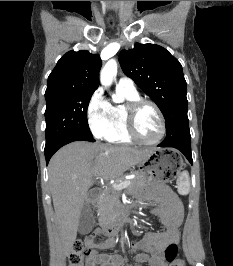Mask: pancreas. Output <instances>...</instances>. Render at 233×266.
Returning a JSON list of instances; mask_svg holds the SVG:
<instances>
[{
    "label": "pancreas",
    "instance_id": "1",
    "mask_svg": "<svg viewBox=\"0 0 233 266\" xmlns=\"http://www.w3.org/2000/svg\"><path fill=\"white\" fill-rule=\"evenodd\" d=\"M121 180L124 179L122 178L120 181ZM129 181L130 185L127 187L128 193H133L146 185V180L140 172L136 173L135 178ZM119 198L120 191L118 190L108 188L104 191L103 196L98 200L97 203L99 221L101 224L111 220L115 216V213L119 207Z\"/></svg>",
    "mask_w": 233,
    "mask_h": 266
}]
</instances>
